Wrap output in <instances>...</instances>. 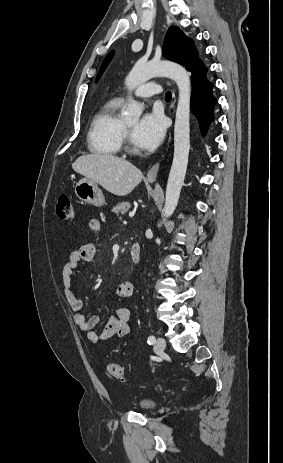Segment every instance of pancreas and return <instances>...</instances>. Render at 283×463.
Here are the masks:
<instances>
[{"instance_id":"cf45deb5","label":"pancreas","mask_w":283,"mask_h":463,"mask_svg":"<svg viewBox=\"0 0 283 463\" xmlns=\"http://www.w3.org/2000/svg\"><path fill=\"white\" fill-rule=\"evenodd\" d=\"M131 208V205L128 202H121L118 203L116 206L113 207L112 212L115 214L121 213L122 215L125 214L129 209Z\"/></svg>"}]
</instances>
